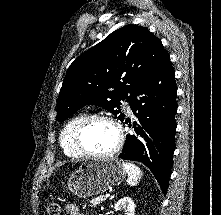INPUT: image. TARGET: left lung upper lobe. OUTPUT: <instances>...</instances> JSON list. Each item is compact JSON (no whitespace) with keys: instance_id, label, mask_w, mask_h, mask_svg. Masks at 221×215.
<instances>
[{"instance_id":"obj_1","label":"left lung upper lobe","mask_w":221,"mask_h":215,"mask_svg":"<svg viewBox=\"0 0 221 215\" xmlns=\"http://www.w3.org/2000/svg\"><path fill=\"white\" fill-rule=\"evenodd\" d=\"M169 55L145 28L126 25L81 54L70 65L58 101L56 121L94 104L124 121L120 101L130 103L139 86Z\"/></svg>"}]
</instances>
